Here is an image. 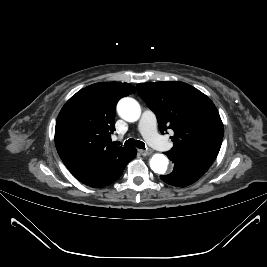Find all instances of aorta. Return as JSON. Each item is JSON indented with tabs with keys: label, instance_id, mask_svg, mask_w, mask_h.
I'll return each mask as SVG.
<instances>
[{
	"label": "aorta",
	"instance_id": "1",
	"mask_svg": "<svg viewBox=\"0 0 267 267\" xmlns=\"http://www.w3.org/2000/svg\"><path fill=\"white\" fill-rule=\"evenodd\" d=\"M119 116L127 122H135L140 118L141 107L139 103L130 97L122 98L117 104ZM150 168L157 174H165L168 159L165 155L156 153L150 159Z\"/></svg>",
	"mask_w": 267,
	"mask_h": 267
}]
</instances>
